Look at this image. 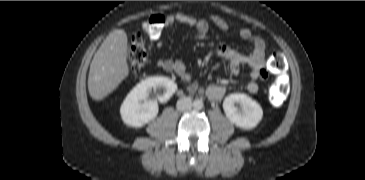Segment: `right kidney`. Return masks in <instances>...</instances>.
<instances>
[{
  "label": "right kidney",
  "instance_id": "ca27d5eb",
  "mask_svg": "<svg viewBox=\"0 0 365 180\" xmlns=\"http://www.w3.org/2000/svg\"><path fill=\"white\" fill-rule=\"evenodd\" d=\"M157 88L163 89V94L157 96L158 101L165 103L176 92L177 85L164 76L150 77L137 84L120 107L121 118L127 126L139 128L155 119L158 103L157 100H148V97Z\"/></svg>",
  "mask_w": 365,
  "mask_h": 180
}]
</instances>
